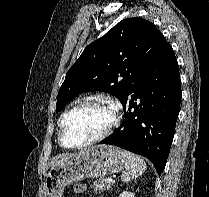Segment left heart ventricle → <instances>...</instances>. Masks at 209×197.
<instances>
[{
	"instance_id": "1",
	"label": "left heart ventricle",
	"mask_w": 209,
	"mask_h": 197,
	"mask_svg": "<svg viewBox=\"0 0 209 197\" xmlns=\"http://www.w3.org/2000/svg\"><path fill=\"white\" fill-rule=\"evenodd\" d=\"M112 119L111 110L102 104L90 103L74 111L64 126V141L74 146L88 141L109 125Z\"/></svg>"
}]
</instances>
